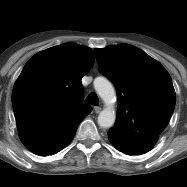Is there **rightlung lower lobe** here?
Listing matches in <instances>:
<instances>
[{
    "label": "right lung lower lobe",
    "instance_id": "obj_1",
    "mask_svg": "<svg viewBox=\"0 0 187 187\" xmlns=\"http://www.w3.org/2000/svg\"><path fill=\"white\" fill-rule=\"evenodd\" d=\"M76 130H74L73 132H71L66 138H64V140H62V142H60L58 144V146L56 148H54L53 150H49V151H45L42 153V156H47V155H53L56 152L60 151L61 149H63L65 146H67L70 141L72 140L74 134H75Z\"/></svg>",
    "mask_w": 187,
    "mask_h": 187
}]
</instances>
